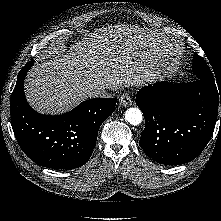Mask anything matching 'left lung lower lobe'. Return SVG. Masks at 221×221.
<instances>
[{"mask_svg":"<svg viewBox=\"0 0 221 221\" xmlns=\"http://www.w3.org/2000/svg\"><path fill=\"white\" fill-rule=\"evenodd\" d=\"M219 103L220 85L202 79L181 84L162 81L141 88L136 104L146 125L140 147L161 164L190 162L200 155L213 134Z\"/></svg>","mask_w":221,"mask_h":221,"instance_id":"left-lung-lower-lobe-1","label":"left lung lower lobe"}]
</instances>
